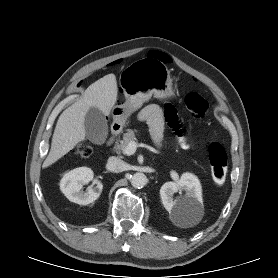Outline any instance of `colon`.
Returning <instances> with one entry per match:
<instances>
[{
  "mask_svg": "<svg viewBox=\"0 0 278 278\" xmlns=\"http://www.w3.org/2000/svg\"><path fill=\"white\" fill-rule=\"evenodd\" d=\"M185 104L189 113L195 118L203 117L209 108L207 101L197 93L187 94ZM77 154L81 157H87L91 154V147L87 144H80L77 148ZM208 157L212 178L218 186H221L226 179L228 164L224 146L219 142H212L208 147Z\"/></svg>",
  "mask_w": 278,
  "mask_h": 278,
  "instance_id": "1",
  "label": "colon"
}]
</instances>
